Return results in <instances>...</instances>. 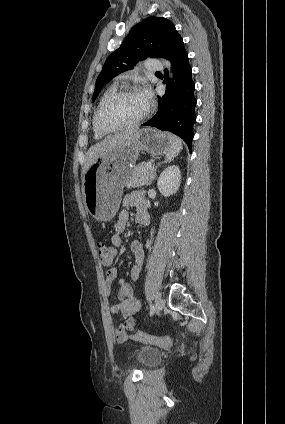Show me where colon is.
Returning a JSON list of instances; mask_svg holds the SVG:
<instances>
[{
	"instance_id": "5ec220e1",
	"label": "colon",
	"mask_w": 285,
	"mask_h": 424,
	"mask_svg": "<svg viewBox=\"0 0 285 424\" xmlns=\"http://www.w3.org/2000/svg\"><path fill=\"white\" fill-rule=\"evenodd\" d=\"M97 251L100 257V261L104 265L112 264L115 257V249L103 242L97 243ZM133 338L136 341L146 342V343H154L162 346H166L173 342L174 338L172 336L167 337H153L149 336L141 331H137L133 333Z\"/></svg>"
}]
</instances>
